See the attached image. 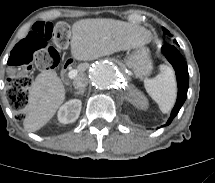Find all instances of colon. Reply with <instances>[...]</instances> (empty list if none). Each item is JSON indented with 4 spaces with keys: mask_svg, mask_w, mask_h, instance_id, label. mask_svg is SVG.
Masks as SVG:
<instances>
[{
    "mask_svg": "<svg viewBox=\"0 0 215 183\" xmlns=\"http://www.w3.org/2000/svg\"><path fill=\"white\" fill-rule=\"evenodd\" d=\"M68 35L69 29L65 23H37L20 42L15 53L10 55L7 73L11 78L8 80L6 95L14 110L22 111L27 106L31 85L27 72L34 66L40 69L56 68L60 63V56L49 43H65Z\"/></svg>",
    "mask_w": 215,
    "mask_h": 183,
    "instance_id": "obj_1",
    "label": "colon"
}]
</instances>
